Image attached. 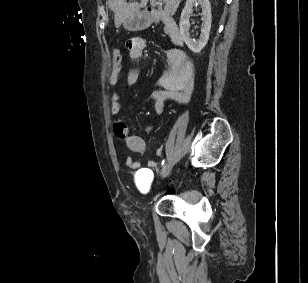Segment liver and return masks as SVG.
<instances>
[{"instance_id": "6515ba94", "label": "liver", "mask_w": 308, "mask_h": 283, "mask_svg": "<svg viewBox=\"0 0 308 283\" xmlns=\"http://www.w3.org/2000/svg\"><path fill=\"white\" fill-rule=\"evenodd\" d=\"M165 3L164 11L168 15H173L181 0H162ZM108 6L114 12L115 27L118 28L126 18L140 12L141 8L146 7L148 0H141L140 3H127L126 0H108Z\"/></svg>"}]
</instances>
